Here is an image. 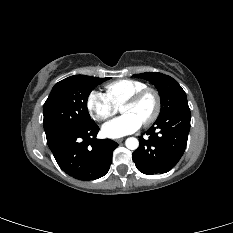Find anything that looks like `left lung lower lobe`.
Here are the masks:
<instances>
[{
  "instance_id": "left-lung-lower-lobe-1",
  "label": "left lung lower lobe",
  "mask_w": 233,
  "mask_h": 233,
  "mask_svg": "<svg viewBox=\"0 0 233 233\" xmlns=\"http://www.w3.org/2000/svg\"><path fill=\"white\" fill-rule=\"evenodd\" d=\"M191 114L188 104L157 118L140 145L132 153L137 169L147 175L170 171L182 157L190 130Z\"/></svg>"
}]
</instances>
